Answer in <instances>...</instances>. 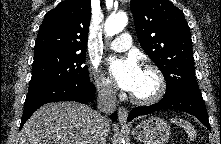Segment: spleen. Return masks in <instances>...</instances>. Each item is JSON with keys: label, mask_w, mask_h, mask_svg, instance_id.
Segmentation results:
<instances>
[{"label": "spleen", "mask_w": 221, "mask_h": 144, "mask_svg": "<svg viewBox=\"0 0 221 144\" xmlns=\"http://www.w3.org/2000/svg\"><path fill=\"white\" fill-rule=\"evenodd\" d=\"M171 122L175 123V124L179 125L181 128H183L186 131L190 140H193L196 137V131L190 122H188L184 119H178V118H172Z\"/></svg>", "instance_id": "3e777b00"}]
</instances>
